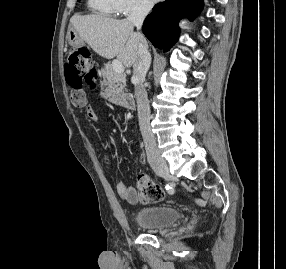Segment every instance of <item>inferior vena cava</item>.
Instances as JSON below:
<instances>
[{
  "instance_id": "1",
  "label": "inferior vena cava",
  "mask_w": 286,
  "mask_h": 269,
  "mask_svg": "<svg viewBox=\"0 0 286 269\" xmlns=\"http://www.w3.org/2000/svg\"><path fill=\"white\" fill-rule=\"evenodd\" d=\"M152 8L151 3L143 1L137 2L127 17V20L132 23L138 30L141 29L143 21ZM151 64V55L148 51V46L145 38L139 37V58L133 66L132 80L135 81V96L137 101V111L140 131L143 136L147 160L154 162L161 160L160 153L157 149L156 139L150 128V106L147 97V92L144 88L146 73Z\"/></svg>"
}]
</instances>
